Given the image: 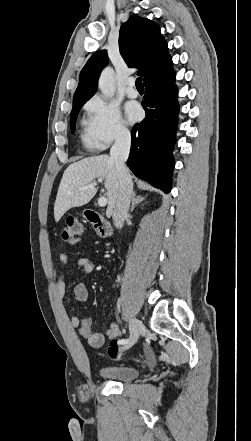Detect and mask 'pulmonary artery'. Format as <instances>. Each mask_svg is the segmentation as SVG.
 I'll return each mask as SVG.
<instances>
[{
	"mask_svg": "<svg viewBox=\"0 0 251 441\" xmlns=\"http://www.w3.org/2000/svg\"><path fill=\"white\" fill-rule=\"evenodd\" d=\"M127 95L130 98H136L138 96V90L135 87V79L129 78L127 81Z\"/></svg>",
	"mask_w": 251,
	"mask_h": 441,
	"instance_id": "obj_1",
	"label": "pulmonary artery"
}]
</instances>
